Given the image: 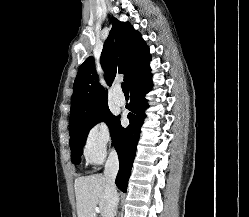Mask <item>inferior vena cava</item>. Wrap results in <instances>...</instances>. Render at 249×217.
I'll use <instances>...</instances> for the list:
<instances>
[{"label": "inferior vena cava", "mask_w": 249, "mask_h": 217, "mask_svg": "<svg viewBox=\"0 0 249 217\" xmlns=\"http://www.w3.org/2000/svg\"><path fill=\"white\" fill-rule=\"evenodd\" d=\"M118 170V155L116 151L112 149L104 169V177L106 181L105 197L110 217H114L116 215V209L119 202V196L115 185V178L117 176Z\"/></svg>", "instance_id": "obj_1"}]
</instances>
